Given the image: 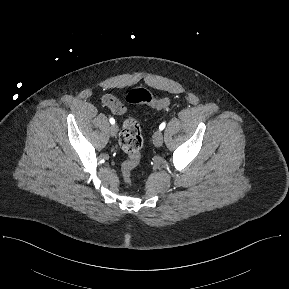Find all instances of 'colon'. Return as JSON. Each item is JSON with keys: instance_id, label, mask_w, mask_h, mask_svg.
Returning a JSON list of instances; mask_svg holds the SVG:
<instances>
[{"instance_id": "5ec220e1", "label": "colon", "mask_w": 289, "mask_h": 289, "mask_svg": "<svg viewBox=\"0 0 289 289\" xmlns=\"http://www.w3.org/2000/svg\"><path fill=\"white\" fill-rule=\"evenodd\" d=\"M127 101L130 104H146L153 108H164L168 105V99L157 98L142 88L132 90L127 96ZM142 143L139 122L136 117L129 115L123 123L120 137V145L129 155V158L122 165L123 178L129 184L132 182L131 172L140 161Z\"/></svg>"}]
</instances>
